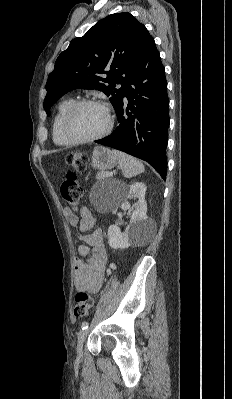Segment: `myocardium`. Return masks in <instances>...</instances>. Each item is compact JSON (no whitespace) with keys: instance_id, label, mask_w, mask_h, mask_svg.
Listing matches in <instances>:
<instances>
[{"instance_id":"1","label":"myocardium","mask_w":232,"mask_h":399,"mask_svg":"<svg viewBox=\"0 0 232 399\" xmlns=\"http://www.w3.org/2000/svg\"><path fill=\"white\" fill-rule=\"evenodd\" d=\"M85 105L103 106L108 113L109 122H108L107 128L99 135L89 137V138H79L71 132L70 119H71L72 115L74 114V112L79 107L85 106ZM114 124H115V117H114L113 110L109 104H107L103 101H100V100H95V99H83V100L76 101L68 108V110L66 111V113L64 114V117H63L62 129H63L65 136L70 141H72L75 144H84V143H93V142H97V141H101V140L105 139L107 136H109L111 134V132L114 128Z\"/></svg>"}]
</instances>
